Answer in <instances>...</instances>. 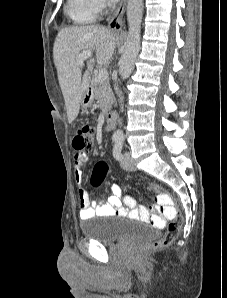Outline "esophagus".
I'll use <instances>...</instances> for the list:
<instances>
[{"mask_svg":"<svg viewBox=\"0 0 227 298\" xmlns=\"http://www.w3.org/2000/svg\"><path fill=\"white\" fill-rule=\"evenodd\" d=\"M127 0H122L113 15L109 19V28L112 30H121L122 18L125 12Z\"/></svg>","mask_w":227,"mask_h":298,"instance_id":"34e87169","label":"esophagus"}]
</instances>
